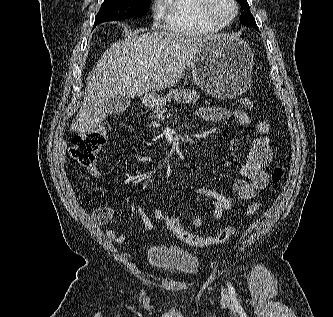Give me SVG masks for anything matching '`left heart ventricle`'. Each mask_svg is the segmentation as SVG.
Listing matches in <instances>:
<instances>
[{
  "label": "left heart ventricle",
  "mask_w": 333,
  "mask_h": 317,
  "mask_svg": "<svg viewBox=\"0 0 333 317\" xmlns=\"http://www.w3.org/2000/svg\"><path fill=\"white\" fill-rule=\"evenodd\" d=\"M233 5L230 0H214L212 5L213 14L221 19H228L233 13Z\"/></svg>",
  "instance_id": "obj_1"
}]
</instances>
